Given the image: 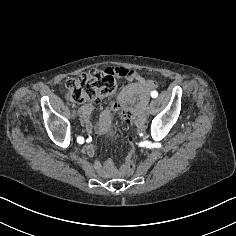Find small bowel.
Here are the masks:
<instances>
[{"mask_svg": "<svg viewBox=\"0 0 236 236\" xmlns=\"http://www.w3.org/2000/svg\"><path fill=\"white\" fill-rule=\"evenodd\" d=\"M126 70L128 71V75L125 76V78L133 82L125 86L120 91L117 98L100 113L95 127H93L90 120L93 104L83 103L79 107L81 123L88 133H92L93 130L98 135L109 133L112 130V114L114 112H120L125 121L128 124L134 125L139 132L145 129L144 110L149 92L155 86V83L145 80L141 74L136 71ZM88 143L85 150L88 155L92 156L95 154L96 149L91 144V139L88 140ZM94 168L104 177H117L123 170V168H117L112 162L102 164L99 161H95Z\"/></svg>", "mask_w": 236, "mask_h": 236, "instance_id": "obj_1", "label": "small bowel"}]
</instances>
